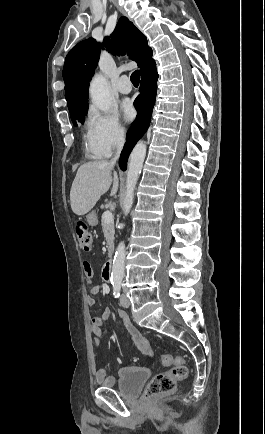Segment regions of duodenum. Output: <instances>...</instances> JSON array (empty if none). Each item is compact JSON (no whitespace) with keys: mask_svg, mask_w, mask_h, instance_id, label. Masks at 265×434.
<instances>
[{"mask_svg":"<svg viewBox=\"0 0 265 434\" xmlns=\"http://www.w3.org/2000/svg\"><path fill=\"white\" fill-rule=\"evenodd\" d=\"M112 267H113L112 261H107L103 267V272H102L103 274L102 275H103V279L106 282L110 281Z\"/></svg>","mask_w":265,"mask_h":434,"instance_id":"1","label":"duodenum"}]
</instances>
